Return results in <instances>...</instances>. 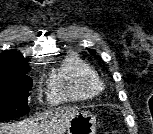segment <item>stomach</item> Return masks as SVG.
Masks as SVG:
<instances>
[{
	"label": "stomach",
	"mask_w": 153,
	"mask_h": 134,
	"mask_svg": "<svg viewBox=\"0 0 153 134\" xmlns=\"http://www.w3.org/2000/svg\"><path fill=\"white\" fill-rule=\"evenodd\" d=\"M66 134H96V117L90 111H77Z\"/></svg>",
	"instance_id": "stomach-1"
}]
</instances>
